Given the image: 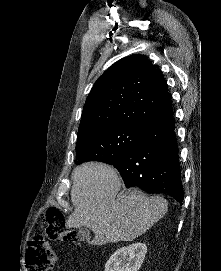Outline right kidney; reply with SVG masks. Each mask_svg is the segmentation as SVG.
I'll return each instance as SVG.
<instances>
[{
  "instance_id": "ca27d5eb",
  "label": "right kidney",
  "mask_w": 221,
  "mask_h": 271,
  "mask_svg": "<svg viewBox=\"0 0 221 271\" xmlns=\"http://www.w3.org/2000/svg\"><path fill=\"white\" fill-rule=\"evenodd\" d=\"M147 245L136 241L116 249L105 263L104 271H138L146 255Z\"/></svg>"
}]
</instances>
